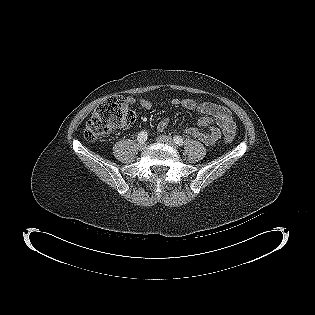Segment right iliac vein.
<instances>
[{
  "label": "right iliac vein",
  "mask_w": 315,
  "mask_h": 315,
  "mask_svg": "<svg viewBox=\"0 0 315 315\" xmlns=\"http://www.w3.org/2000/svg\"><path fill=\"white\" fill-rule=\"evenodd\" d=\"M146 148V143L145 142H139L138 143V149L139 150H144Z\"/></svg>",
  "instance_id": "right-iliac-vein-1"
}]
</instances>
